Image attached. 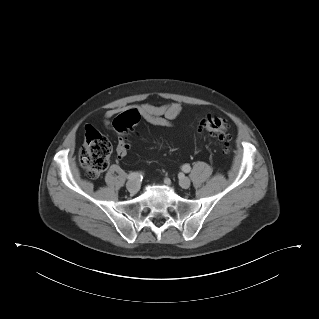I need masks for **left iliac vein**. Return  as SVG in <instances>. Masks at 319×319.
Returning <instances> with one entry per match:
<instances>
[{"label":"left iliac vein","instance_id":"4c4485c4","mask_svg":"<svg viewBox=\"0 0 319 319\" xmlns=\"http://www.w3.org/2000/svg\"><path fill=\"white\" fill-rule=\"evenodd\" d=\"M190 179L185 176H180L179 178V184L182 188L187 189L190 186Z\"/></svg>","mask_w":319,"mask_h":319}]
</instances>
